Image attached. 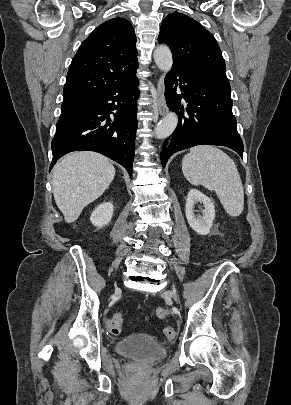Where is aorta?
I'll list each match as a JSON object with an SVG mask.
<instances>
[{"label":"aorta","mask_w":291,"mask_h":405,"mask_svg":"<svg viewBox=\"0 0 291 405\" xmlns=\"http://www.w3.org/2000/svg\"><path fill=\"white\" fill-rule=\"evenodd\" d=\"M154 61L159 69L169 72L173 65L172 53L168 46L160 45L154 51ZM178 117L174 112H169L155 127L157 139H164L170 136L176 129Z\"/></svg>","instance_id":"1"}]
</instances>
